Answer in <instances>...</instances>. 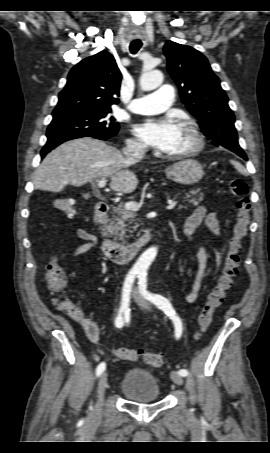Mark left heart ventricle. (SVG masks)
I'll use <instances>...</instances> for the list:
<instances>
[{
	"label": "left heart ventricle",
	"mask_w": 270,
	"mask_h": 453,
	"mask_svg": "<svg viewBox=\"0 0 270 453\" xmlns=\"http://www.w3.org/2000/svg\"><path fill=\"white\" fill-rule=\"evenodd\" d=\"M193 145V139L190 131L182 126L177 125V134L170 148L165 150L166 153H177L190 148Z\"/></svg>",
	"instance_id": "left-heart-ventricle-1"
}]
</instances>
